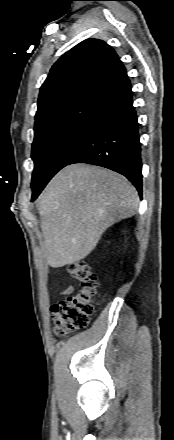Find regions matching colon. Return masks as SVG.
I'll return each mask as SVG.
<instances>
[{
  "instance_id": "5ec220e1",
  "label": "colon",
  "mask_w": 174,
  "mask_h": 440,
  "mask_svg": "<svg viewBox=\"0 0 174 440\" xmlns=\"http://www.w3.org/2000/svg\"><path fill=\"white\" fill-rule=\"evenodd\" d=\"M69 273L80 282V287L52 306V318L56 334L64 336L68 331L83 329L88 325L93 311V301L98 294L99 283L89 264L83 261L68 266Z\"/></svg>"
}]
</instances>
